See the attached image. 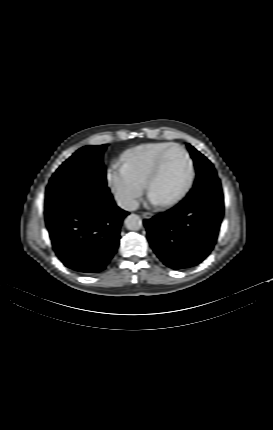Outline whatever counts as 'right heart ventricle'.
Wrapping results in <instances>:
<instances>
[{
	"mask_svg": "<svg viewBox=\"0 0 273 430\" xmlns=\"http://www.w3.org/2000/svg\"><path fill=\"white\" fill-rule=\"evenodd\" d=\"M171 144L151 142L136 146L121 156L122 164L135 179L145 184L158 155Z\"/></svg>",
	"mask_w": 273,
	"mask_h": 430,
	"instance_id": "right-heart-ventricle-1",
	"label": "right heart ventricle"
}]
</instances>
